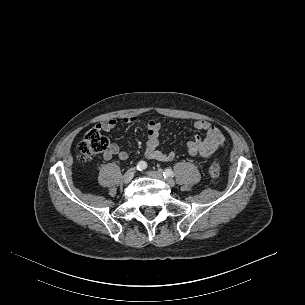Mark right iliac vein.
Returning <instances> with one entry per match:
<instances>
[{
	"label": "right iliac vein",
	"instance_id": "right-iliac-vein-1",
	"mask_svg": "<svg viewBox=\"0 0 305 305\" xmlns=\"http://www.w3.org/2000/svg\"><path fill=\"white\" fill-rule=\"evenodd\" d=\"M134 174H135V171L132 169V170H129L127 171L123 177H122V181L124 183H129L132 181L133 177H134Z\"/></svg>",
	"mask_w": 305,
	"mask_h": 305
}]
</instances>
